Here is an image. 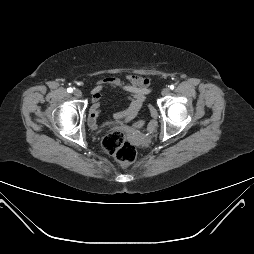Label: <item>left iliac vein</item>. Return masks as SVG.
Here are the masks:
<instances>
[{"instance_id":"left-iliac-vein-1","label":"left iliac vein","mask_w":254,"mask_h":254,"mask_svg":"<svg viewBox=\"0 0 254 254\" xmlns=\"http://www.w3.org/2000/svg\"><path fill=\"white\" fill-rule=\"evenodd\" d=\"M169 92H170L169 88H164L161 93H162L163 96H166V95L169 94Z\"/></svg>"}]
</instances>
